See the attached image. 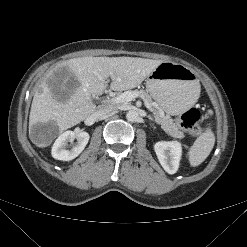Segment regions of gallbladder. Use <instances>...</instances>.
Returning a JSON list of instances; mask_svg holds the SVG:
<instances>
[{
	"label": "gallbladder",
	"mask_w": 247,
	"mask_h": 247,
	"mask_svg": "<svg viewBox=\"0 0 247 247\" xmlns=\"http://www.w3.org/2000/svg\"><path fill=\"white\" fill-rule=\"evenodd\" d=\"M47 83L54 97L60 101L69 99L73 89L78 86V81L66 67L54 72Z\"/></svg>",
	"instance_id": "1"
}]
</instances>
